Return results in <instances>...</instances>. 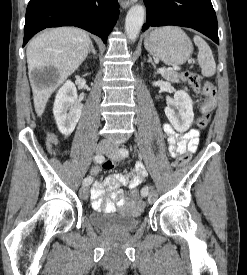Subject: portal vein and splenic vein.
<instances>
[{
  "mask_svg": "<svg viewBox=\"0 0 247 275\" xmlns=\"http://www.w3.org/2000/svg\"><path fill=\"white\" fill-rule=\"evenodd\" d=\"M166 70L164 68L158 69V73L163 74Z\"/></svg>",
  "mask_w": 247,
  "mask_h": 275,
  "instance_id": "18ae733b",
  "label": "portal vein and splenic vein"
}]
</instances>
